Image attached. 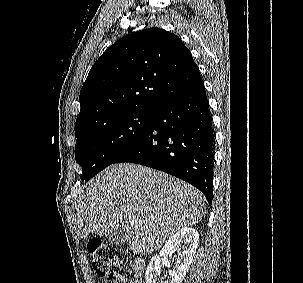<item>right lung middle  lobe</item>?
<instances>
[{
	"label": "right lung middle lobe",
	"instance_id": "dd1d6c3e",
	"mask_svg": "<svg viewBox=\"0 0 303 283\" xmlns=\"http://www.w3.org/2000/svg\"><path fill=\"white\" fill-rule=\"evenodd\" d=\"M151 118L152 111H131L75 132V158L82 167L81 179L88 181L112 164L146 131Z\"/></svg>",
	"mask_w": 303,
	"mask_h": 283
}]
</instances>
